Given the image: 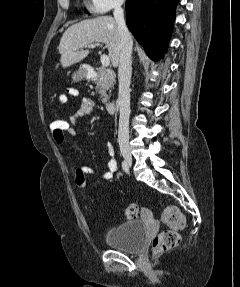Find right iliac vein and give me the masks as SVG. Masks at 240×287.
Instances as JSON below:
<instances>
[{"label":"right iliac vein","mask_w":240,"mask_h":287,"mask_svg":"<svg viewBox=\"0 0 240 287\" xmlns=\"http://www.w3.org/2000/svg\"><path fill=\"white\" fill-rule=\"evenodd\" d=\"M122 156L124 157L125 161L129 165V167L132 166V156L128 149L124 148L121 150Z\"/></svg>","instance_id":"63e3f726"}]
</instances>
